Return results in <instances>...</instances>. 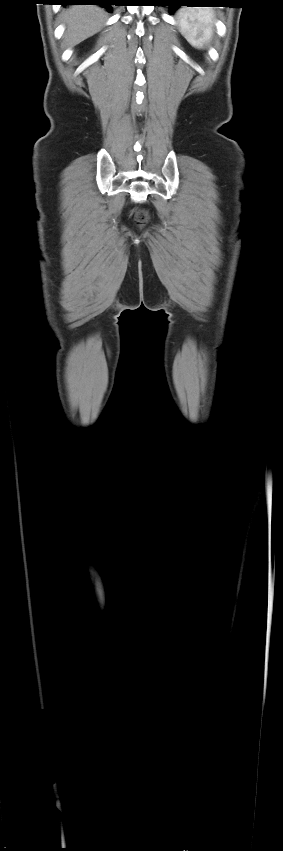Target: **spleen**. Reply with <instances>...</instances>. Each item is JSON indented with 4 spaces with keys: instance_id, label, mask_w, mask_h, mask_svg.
<instances>
[{
    "instance_id": "obj_1",
    "label": "spleen",
    "mask_w": 283,
    "mask_h": 851,
    "mask_svg": "<svg viewBox=\"0 0 283 851\" xmlns=\"http://www.w3.org/2000/svg\"><path fill=\"white\" fill-rule=\"evenodd\" d=\"M177 19L181 34L193 47L203 49L209 44L214 27L212 9L182 8L177 13Z\"/></svg>"
}]
</instances>
